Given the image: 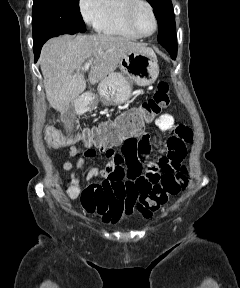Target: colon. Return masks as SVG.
Segmentation results:
<instances>
[{
    "label": "colon",
    "mask_w": 240,
    "mask_h": 288,
    "mask_svg": "<svg viewBox=\"0 0 240 288\" xmlns=\"http://www.w3.org/2000/svg\"><path fill=\"white\" fill-rule=\"evenodd\" d=\"M171 103L169 84L163 80L157 85L154 95L137 108L130 109L115 120L83 132L75 139L64 137L56 128H48L45 140L49 147L60 148L77 141L92 145L103 141H116L139 133ZM188 184L187 169L180 165L176 173L164 174L158 184L137 200V210L146 218L152 216L170 198L177 196Z\"/></svg>",
    "instance_id": "obj_1"
}]
</instances>
